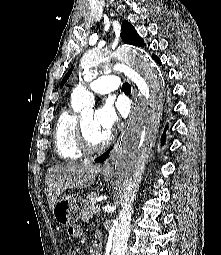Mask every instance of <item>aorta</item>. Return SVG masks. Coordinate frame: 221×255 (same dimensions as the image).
I'll list each match as a JSON object with an SVG mask.
<instances>
[{
	"instance_id": "obj_1",
	"label": "aorta",
	"mask_w": 221,
	"mask_h": 255,
	"mask_svg": "<svg viewBox=\"0 0 221 255\" xmlns=\"http://www.w3.org/2000/svg\"><path fill=\"white\" fill-rule=\"evenodd\" d=\"M82 66L85 82L96 78L102 69L128 67L140 90L133 127L124 136L115 163L116 187L121 197V210L109 232L107 244V255H125L133 203L155 136L162 104L161 84L152 60L134 47H123L110 55L88 53L82 59ZM71 104L76 112L91 111L94 97L83 85H78L71 93Z\"/></svg>"
}]
</instances>
